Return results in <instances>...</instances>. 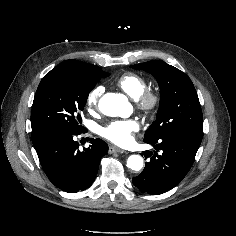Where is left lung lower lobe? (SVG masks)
Returning a JSON list of instances; mask_svg holds the SVG:
<instances>
[{
    "label": "left lung lower lobe",
    "instance_id": "0a47b994",
    "mask_svg": "<svg viewBox=\"0 0 236 236\" xmlns=\"http://www.w3.org/2000/svg\"><path fill=\"white\" fill-rule=\"evenodd\" d=\"M202 137L185 133H171L144 142L154 145L160 154L144 151L145 158L151 157L142 173L132 179L142 192L159 195L176 185L190 170Z\"/></svg>",
    "mask_w": 236,
    "mask_h": 236
}]
</instances>
